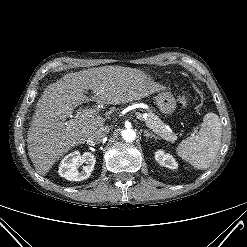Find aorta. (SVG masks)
Listing matches in <instances>:
<instances>
[{
  "instance_id": "762f6f07",
  "label": "aorta",
  "mask_w": 247,
  "mask_h": 247,
  "mask_svg": "<svg viewBox=\"0 0 247 247\" xmlns=\"http://www.w3.org/2000/svg\"><path fill=\"white\" fill-rule=\"evenodd\" d=\"M122 138L127 142H132L136 138V133L133 129H125L122 131Z\"/></svg>"
}]
</instances>
